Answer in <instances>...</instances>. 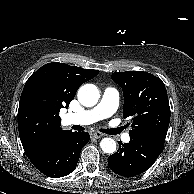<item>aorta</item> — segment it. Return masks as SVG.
Returning a JSON list of instances; mask_svg holds the SVG:
<instances>
[{
    "label": "aorta",
    "instance_id": "obj_1",
    "mask_svg": "<svg viewBox=\"0 0 194 194\" xmlns=\"http://www.w3.org/2000/svg\"><path fill=\"white\" fill-rule=\"evenodd\" d=\"M100 98L98 88L93 84H86L78 90V100L86 107H92L97 104ZM100 147L105 153L112 154L116 151V142L112 138H103Z\"/></svg>",
    "mask_w": 194,
    "mask_h": 194
}]
</instances>
